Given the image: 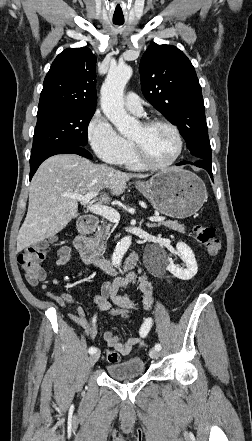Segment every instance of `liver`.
<instances>
[{
	"mask_svg": "<svg viewBox=\"0 0 252 441\" xmlns=\"http://www.w3.org/2000/svg\"><path fill=\"white\" fill-rule=\"evenodd\" d=\"M134 177L148 175L121 172L74 154L48 158L30 184L28 212L17 236V252L56 235L77 216L78 200L69 195L84 196L106 188L119 196ZM110 200L101 193V202Z\"/></svg>",
	"mask_w": 252,
	"mask_h": 441,
	"instance_id": "obj_1",
	"label": "liver"
}]
</instances>
